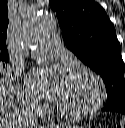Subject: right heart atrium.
<instances>
[{
    "label": "right heart atrium",
    "instance_id": "obj_1",
    "mask_svg": "<svg viewBox=\"0 0 125 128\" xmlns=\"http://www.w3.org/2000/svg\"><path fill=\"white\" fill-rule=\"evenodd\" d=\"M16 96L22 108L32 111L39 109L40 103L38 99L24 89L18 87L16 89Z\"/></svg>",
    "mask_w": 125,
    "mask_h": 128
}]
</instances>
